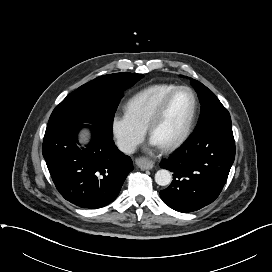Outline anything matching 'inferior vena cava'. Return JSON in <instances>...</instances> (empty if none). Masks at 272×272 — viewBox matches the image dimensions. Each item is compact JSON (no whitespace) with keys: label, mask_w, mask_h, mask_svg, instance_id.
<instances>
[{"label":"inferior vena cava","mask_w":272,"mask_h":272,"mask_svg":"<svg viewBox=\"0 0 272 272\" xmlns=\"http://www.w3.org/2000/svg\"><path fill=\"white\" fill-rule=\"evenodd\" d=\"M136 144L133 142H120L118 143V148L127 154H132L136 150Z\"/></svg>","instance_id":"obj_1"}]
</instances>
